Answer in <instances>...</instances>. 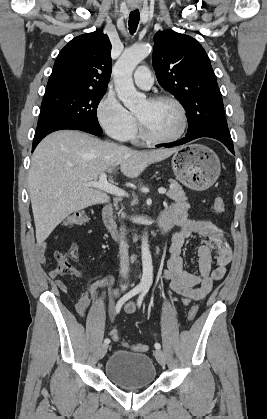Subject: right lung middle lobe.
Instances as JSON below:
<instances>
[{
  "mask_svg": "<svg viewBox=\"0 0 267 419\" xmlns=\"http://www.w3.org/2000/svg\"><path fill=\"white\" fill-rule=\"evenodd\" d=\"M105 91L59 90L46 92L41 104L42 110H48L80 122L99 128L96 110Z\"/></svg>",
  "mask_w": 267,
  "mask_h": 419,
  "instance_id": "dd1d6c3e",
  "label": "right lung middle lobe"
}]
</instances>
